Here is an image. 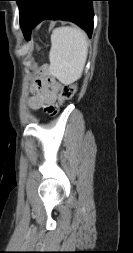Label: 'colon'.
<instances>
[{
    "label": "colon",
    "instance_id": "5ec220e1",
    "mask_svg": "<svg viewBox=\"0 0 133 253\" xmlns=\"http://www.w3.org/2000/svg\"><path fill=\"white\" fill-rule=\"evenodd\" d=\"M76 90H77V87L75 84L65 85L60 96V102H64L66 100L71 99L73 95L75 94Z\"/></svg>",
    "mask_w": 133,
    "mask_h": 253
}]
</instances>
